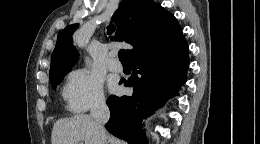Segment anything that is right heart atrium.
Segmentation results:
<instances>
[{
	"mask_svg": "<svg viewBox=\"0 0 260 144\" xmlns=\"http://www.w3.org/2000/svg\"><path fill=\"white\" fill-rule=\"evenodd\" d=\"M64 99L74 112L102 106L105 103L102 79L87 69L73 70L64 86Z\"/></svg>",
	"mask_w": 260,
	"mask_h": 144,
	"instance_id": "d8ad5b80",
	"label": "right heart atrium"
}]
</instances>
